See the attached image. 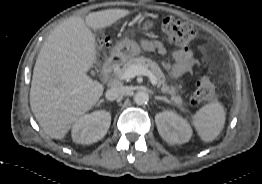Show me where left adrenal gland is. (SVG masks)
Listing matches in <instances>:
<instances>
[{"instance_id":"a2214340","label":"left adrenal gland","mask_w":262,"mask_h":184,"mask_svg":"<svg viewBox=\"0 0 262 184\" xmlns=\"http://www.w3.org/2000/svg\"><path fill=\"white\" fill-rule=\"evenodd\" d=\"M154 98L156 100H162V101H165L167 103H170V101L166 98V97H162V96H154Z\"/></svg>"}]
</instances>
